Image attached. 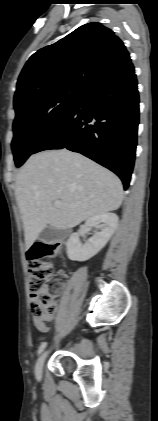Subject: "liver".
<instances>
[{"instance_id":"1","label":"liver","mask_w":158,"mask_h":421,"mask_svg":"<svg viewBox=\"0 0 158 421\" xmlns=\"http://www.w3.org/2000/svg\"><path fill=\"white\" fill-rule=\"evenodd\" d=\"M26 249L49 225L70 229L84 220L117 210L123 200L120 179L92 160L67 149L32 155L16 178ZM62 203L61 208L54 206Z\"/></svg>"}]
</instances>
